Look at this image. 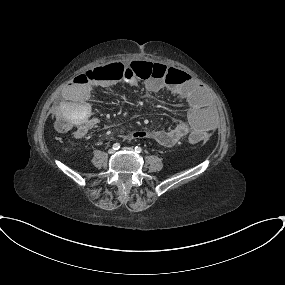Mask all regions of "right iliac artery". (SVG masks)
Here are the masks:
<instances>
[{
  "mask_svg": "<svg viewBox=\"0 0 285 285\" xmlns=\"http://www.w3.org/2000/svg\"><path fill=\"white\" fill-rule=\"evenodd\" d=\"M120 148V144L119 143H115L114 145H113V149L114 150H118Z\"/></svg>",
  "mask_w": 285,
  "mask_h": 285,
  "instance_id": "right-iliac-artery-1",
  "label": "right iliac artery"
}]
</instances>
